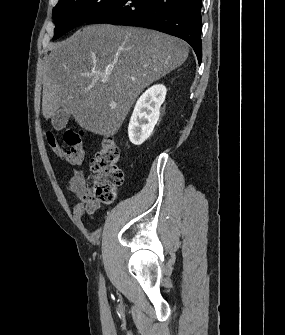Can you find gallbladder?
I'll return each instance as SVG.
<instances>
[{
  "instance_id": "gallbladder-1",
  "label": "gallbladder",
  "mask_w": 285,
  "mask_h": 335,
  "mask_svg": "<svg viewBox=\"0 0 285 335\" xmlns=\"http://www.w3.org/2000/svg\"><path fill=\"white\" fill-rule=\"evenodd\" d=\"M70 118V114L65 110H58L57 114L52 118V126L55 130H63L66 128V124Z\"/></svg>"
}]
</instances>
